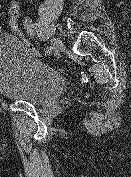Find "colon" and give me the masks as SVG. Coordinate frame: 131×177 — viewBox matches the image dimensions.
Returning a JSON list of instances; mask_svg holds the SVG:
<instances>
[{"label":"colon","instance_id":"colon-1","mask_svg":"<svg viewBox=\"0 0 131 177\" xmlns=\"http://www.w3.org/2000/svg\"><path fill=\"white\" fill-rule=\"evenodd\" d=\"M6 13L10 32L17 37L31 53L36 56H41L39 50L31 42L22 28V9L19 1L10 0L7 4Z\"/></svg>","mask_w":131,"mask_h":177}]
</instances>
